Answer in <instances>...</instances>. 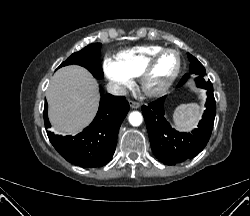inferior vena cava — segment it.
<instances>
[{"mask_svg":"<svg viewBox=\"0 0 250 216\" xmlns=\"http://www.w3.org/2000/svg\"><path fill=\"white\" fill-rule=\"evenodd\" d=\"M107 91L108 93L116 96H124L128 93L127 89L124 86L114 82H109L107 84Z\"/></svg>","mask_w":250,"mask_h":216,"instance_id":"602c4592","label":"inferior vena cava"}]
</instances>
